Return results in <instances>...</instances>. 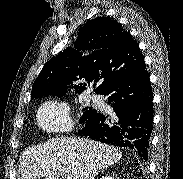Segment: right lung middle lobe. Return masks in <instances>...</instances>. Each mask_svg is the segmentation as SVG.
<instances>
[{
    "instance_id": "1",
    "label": "right lung middle lobe",
    "mask_w": 183,
    "mask_h": 179,
    "mask_svg": "<svg viewBox=\"0 0 183 179\" xmlns=\"http://www.w3.org/2000/svg\"><path fill=\"white\" fill-rule=\"evenodd\" d=\"M83 111H84L83 117L79 119V123H83L89 117H91L93 114L96 113V110L93 107H86V108L83 109Z\"/></svg>"
}]
</instances>
